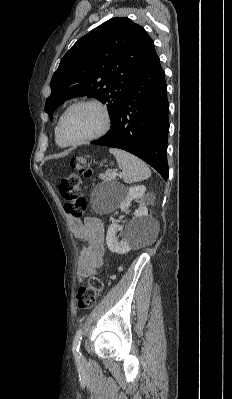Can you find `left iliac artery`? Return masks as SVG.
<instances>
[{"instance_id": "44dca946", "label": "left iliac artery", "mask_w": 232, "mask_h": 399, "mask_svg": "<svg viewBox=\"0 0 232 399\" xmlns=\"http://www.w3.org/2000/svg\"><path fill=\"white\" fill-rule=\"evenodd\" d=\"M83 330L79 329L75 335L73 345H72V353L75 359H80L82 354L80 352V344L82 340Z\"/></svg>"}]
</instances>
